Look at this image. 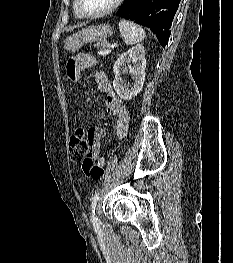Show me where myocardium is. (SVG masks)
<instances>
[{"instance_id":"1","label":"myocardium","mask_w":233,"mask_h":263,"mask_svg":"<svg viewBox=\"0 0 233 263\" xmlns=\"http://www.w3.org/2000/svg\"><path fill=\"white\" fill-rule=\"evenodd\" d=\"M123 2V0H114L113 3L106 9L98 12V13H93L89 14L86 13L81 6V0H76V9L81 17L88 18V19H97L104 17L112 12H114Z\"/></svg>"}]
</instances>
